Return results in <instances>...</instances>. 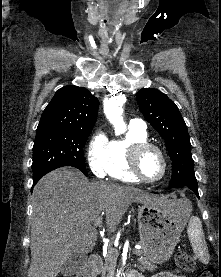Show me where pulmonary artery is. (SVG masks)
Here are the masks:
<instances>
[{"label":"pulmonary artery","instance_id":"1","mask_svg":"<svg viewBox=\"0 0 221 277\" xmlns=\"http://www.w3.org/2000/svg\"><path fill=\"white\" fill-rule=\"evenodd\" d=\"M130 127L138 130L145 131L146 130V124L141 119H132L130 121Z\"/></svg>","mask_w":221,"mask_h":277}]
</instances>
